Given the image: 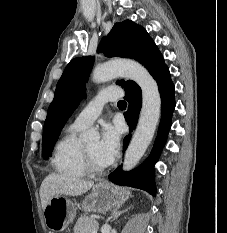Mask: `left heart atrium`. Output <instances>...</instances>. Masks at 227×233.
<instances>
[{"mask_svg":"<svg viewBox=\"0 0 227 233\" xmlns=\"http://www.w3.org/2000/svg\"><path fill=\"white\" fill-rule=\"evenodd\" d=\"M120 144V133L116 126L105 124L98 146V155L105 164H110L116 157Z\"/></svg>","mask_w":227,"mask_h":233,"instance_id":"39dd6f15","label":"left heart atrium"}]
</instances>
